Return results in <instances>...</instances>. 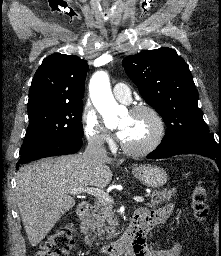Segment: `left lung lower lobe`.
Masks as SVG:
<instances>
[{
	"mask_svg": "<svg viewBox=\"0 0 221 256\" xmlns=\"http://www.w3.org/2000/svg\"><path fill=\"white\" fill-rule=\"evenodd\" d=\"M179 154H198L213 159L221 170V142L212 133H197L171 142H161L148 159L168 158Z\"/></svg>",
	"mask_w": 221,
	"mask_h": 256,
	"instance_id": "obj_1",
	"label": "left lung lower lobe"
}]
</instances>
